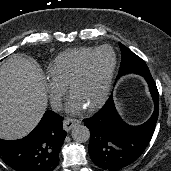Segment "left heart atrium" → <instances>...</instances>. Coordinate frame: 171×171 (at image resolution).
<instances>
[{
  "instance_id": "obj_1",
  "label": "left heart atrium",
  "mask_w": 171,
  "mask_h": 171,
  "mask_svg": "<svg viewBox=\"0 0 171 171\" xmlns=\"http://www.w3.org/2000/svg\"><path fill=\"white\" fill-rule=\"evenodd\" d=\"M85 105L76 96L70 95L69 100L66 105L67 112L71 114H79L85 109Z\"/></svg>"
}]
</instances>
